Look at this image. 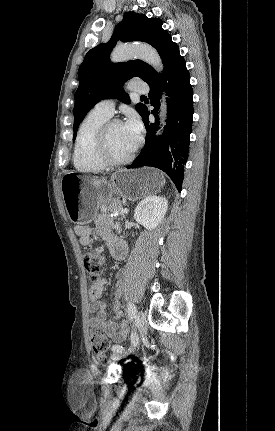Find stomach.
Listing matches in <instances>:
<instances>
[{
	"mask_svg": "<svg viewBox=\"0 0 275 431\" xmlns=\"http://www.w3.org/2000/svg\"><path fill=\"white\" fill-rule=\"evenodd\" d=\"M164 184V175L153 168L122 169L110 181L67 173L61 180V192L71 222L85 225L94 219L100 200L117 195L135 201L159 192Z\"/></svg>",
	"mask_w": 275,
	"mask_h": 431,
	"instance_id": "obj_1",
	"label": "stomach"
}]
</instances>
